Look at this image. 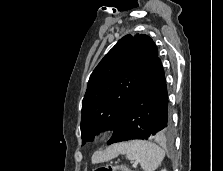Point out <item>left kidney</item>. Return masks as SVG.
Listing matches in <instances>:
<instances>
[{
    "label": "left kidney",
    "instance_id": "5707ae66",
    "mask_svg": "<svg viewBox=\"0 0 223 171\" xmlns=\"http://www.w3.org/2000/svg\"><path fill=\"white\" fill-rule=\"evenodd\" d=\"M161 171H167L166 169H163V170H161Z\"/></svg>",
    "mask_w": 223,
    "mask_h": 171
}]
</instances>
